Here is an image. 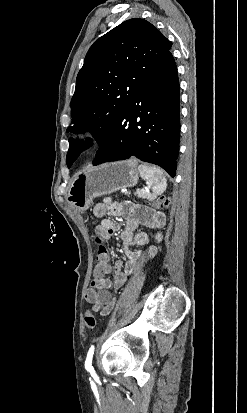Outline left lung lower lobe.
I'll list each match as a JSON object with an SVG mask.
<instances>
[{
    "mask_svg": "<svg viewBox=\"0 0 247 413\" xmlns=\"http://www.w3.org/2000/svg\"><path fill=\"white\" fill-rule=\"evenodd\" d=\"M180 87L170 50L133 94L97 151L93 165L136 157L176 175Z\"/></svg>",
    "mask_w": 247,
    "mask_h": 413,
    "instance_id": "obj_1",
    "label": "left lung lower lobe"
}]
</instances>
